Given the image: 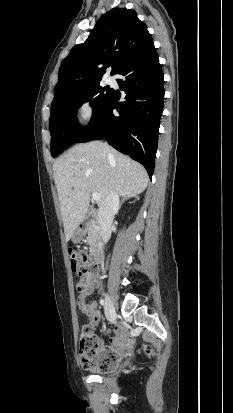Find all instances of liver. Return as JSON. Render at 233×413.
I'll return each mask as SVG.
<instances>
[{"mask_svg": "<svg viewBox=\"0 0 233 413\" xmlns=\"http://www.w3.org/2000/svg\"><path fill=\"white\" fill-rule=\"evenodd\" d=\"M53 172L66 241L84 220L91 194L100 195V207L110 191L133 197L149 180L141 164L100 141L73 146L54 162Z\"/></svg>", "mask_w": 233, "mask_h": 413, "instance_id": "6515ba94", "label": "liver"}]
</instances>
